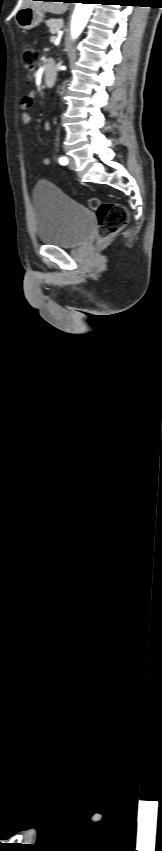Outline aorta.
I'll list each match as a JSON object with an SVG mask.
<instances>
[{"mask_svg":"<svg viewBox=\"0 0 162 851\" xmlns=\"http://www.w3.org/2000/svg\"><path fill=\"white\" fill-rule=\"evenodd\" d=\"M94 8L91 3H77L71 21V36L78 38L85 28Z\"/></svg>","mask_w":162,"mask_h":851,"instance_id":"1","label":"aorta"}]
</instances>
